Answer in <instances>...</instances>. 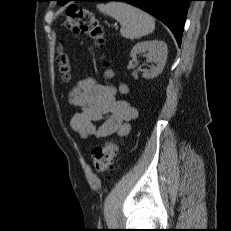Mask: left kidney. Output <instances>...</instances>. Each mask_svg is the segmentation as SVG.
Segmentation results:
<instances>
[{
  "label": "left kidney",
  "instance_id": "5707ae66",
  "mask_svg": "<svg viewBox=\"0 0 231 231\" xmlns=\"http://www.w3.org/2000/svg\"><path fill=\"white\" fill-rule=\"evenodd\" d=\"M144 53L149 61L156 63L149 72L143 73V77L151 79L159 75L167 60V45L163 41L152 40L137 43L131 50L130 56L135 58L138 54Z\"/></svg>",
  "mask_w": 231,
  "mask_h": 231
}]
</instances>
